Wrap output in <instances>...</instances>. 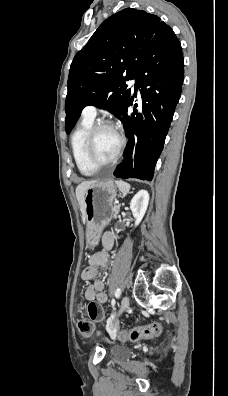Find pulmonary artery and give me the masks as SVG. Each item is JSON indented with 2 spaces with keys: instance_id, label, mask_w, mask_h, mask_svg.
<instances>
[{
  "instance_id": "pulmonary-artery-1",
  "label": "pulmonary artery",
  "mask_w": 228,
  "mask_h": 396,
  "mask_svg": "<svg viewBox=\"0 0 228 396\" xmlns=\"http://www.w3.org/2000/svg\"><path fill=\"white\" fill-rule=\"evenodd\" d=\"M130 85L132 86H137V81L136 79H132L130 80ZM83 115L86 117H90V118H95V116L97 115V109L95 106L89 105L86 106L83 110Z\"/></svg>"
}]
</instances>
